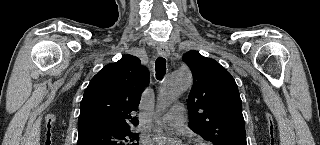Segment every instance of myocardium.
Wrapping results in <instances>:
<instances>
[{
	"mask_svg": "<svg viewBox=\"0 0 320 145\" xmlns=\"http://www.w3.org/2000/svg\"><path fill=\"white\" fill-rule=\"evenodd\" d=\"M192 145H208V144L203 141H194L192 142Z\"/></svg>",
	"mask_w": 320,
	"mask_h": 145,
	"instance_id": "f54148a6",
	"label": "myocardium"
}]
</instances>
